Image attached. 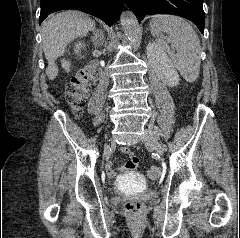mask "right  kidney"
<instances>
[{"label":"right kidney","mask_w":240,"mask_h":238,"mask_svg":"<svg viewBox=\"0 0 240 238\" xmlns=\"http://www.w3.org/2000/svg\"><path fill=\"white\" fill-rule=\"evenodd\" d=\"M75 53H78L79 52V49L82 47V44L81 43H78V44H75Z\"/></svg>","instance_id":"obj_1"}]
</instances>
